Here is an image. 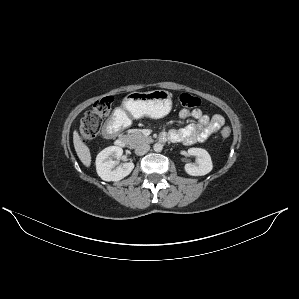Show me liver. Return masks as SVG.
Here are the masks:
<instances>
[{
    "label": "liver",
    "mask_w": 299,
    "mask_h": 299,
    "mask_svg": "<svg viewBox=\"0 0 299 299\" xmlns=\"http://www.w3.org/2000/svg\"><path fill=\"white\" fill-rule=\"evenodd\" d=\"M73 143L75 151L80 159V161L86 167H90L91 165V153L88 146L82 141L81 137L79 136L78 132L75 130L73 132Z\"/></svg>",
    "instance_id": "6515ba94"
}]
</instances>
